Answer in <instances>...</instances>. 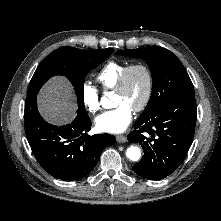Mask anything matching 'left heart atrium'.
Masks as SVG:
<instances>
[{"label": "left heart atrium", "instance_id": "1", "mask_svg": "<svg viewBox=\"0 0 221 221\" xmlns=\"http://www.w3.org/2000/svg\"><path fill=\"white\" fill-rule=\"evenodd\" d=\"M132 118L133 110L122 103L98 115L95 119V125L101 132L121 133L131 123Z\"/></svg>", "mask_w": 221, "mask_h": 221}]
</instances>
